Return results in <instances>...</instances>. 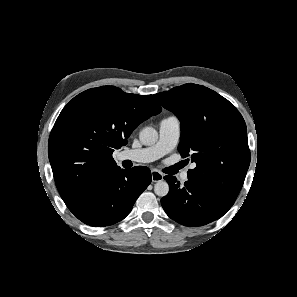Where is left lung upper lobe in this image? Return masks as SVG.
Here are the masks:
<instances>
[{
	"instance_id": "left-lung-upper-lobe-1",
	"label": "left lung upper lobe",
	"mask_w": 297,
	"mask_h": 297,
	"mask_svg": "<svg viewBox=\"0 0 297 297\" xmlns=\"http://www.w3.org/2000/svg\"><path fill=\"white\" fill-rule=\"evenodd\" d=\"M154 97L181 122L178 151L196 163L188 180L233 205L245 180L250 151L245 121L215 91L184 84ZM188 161V160H187Z\"/></svg>"
}]
</instances>
